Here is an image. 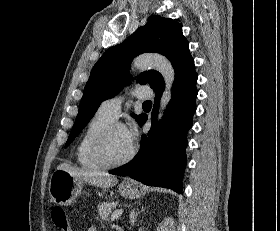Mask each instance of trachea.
Instances as JSON below:
<instances>
[{
    "label": "trachea",
    "mask_w": 280,
    "mask_h": 231,
    "mask_svg": "<svg viewBox=\"0 0 280 231\" xmlns=\"http://www.w3.org/2000/svg\"><path fill=\"white\" fill-rule=\"evenodd\" d=\"M142 106L144 110H150L152 107V102L150 101L144 102Z\"/></svg>",
    "instance_id": "1"
}]
</instances>
